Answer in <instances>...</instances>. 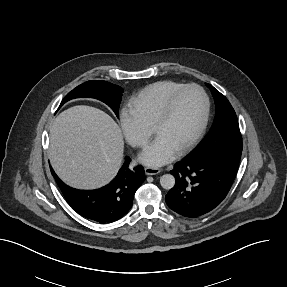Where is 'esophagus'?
<instances>
[{"instance_id":"34e87169","label":"esophagus","mask_w":287,"mask_h":287,"mask_svg":"<svg viewBox=\"0 0 287 287\" xmlns=\"http://www.w3.org/2000/svg\"><path fill=\"white\" fill-rule=\"evenodd\" d=\"M161 172V169L159 168H153V167H146L145 168V174L146 175H156Z\"/></svg>"}]
</instances>
